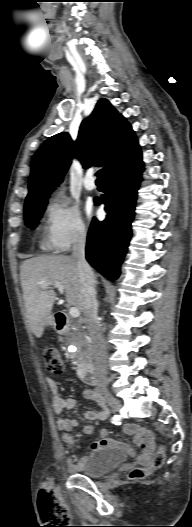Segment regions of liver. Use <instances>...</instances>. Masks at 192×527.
Returning a JSON list of instances; mask_svg holds the SVG:
<instances>
[{
	"label": "liver",
	"mask_w": 192,
	"mask_h": 527,
	"mask_svg": "<svg viewBox=\"0 0 192 527\" xmlns=\"http://www.w3.org/2000/svg\"><path fill=\"white\" fill-rule=\"evenodd\" d=\"M20 277L27 321L37 338L43 335L56 299L53 285L42 288L40 283H61L67 304L83 312L82 284L77 261L72 256L41 255L27 259L21 265Z\"/></svg>",
	"instance_id": "6515ba94"
}]
</instances>
